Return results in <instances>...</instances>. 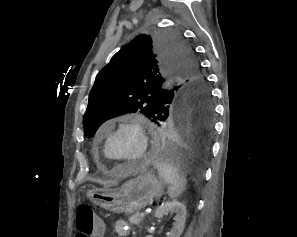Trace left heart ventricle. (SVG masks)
<instances>
[{"mask_svg": "<svg viewBox=\"0 0 297 237\" xmlns=\"http://www.w3.org/2000/svg\"><path fill=\"white\" fill-rule=\"evenodd\" d=\"M139 150V142L136 134L124 129L116 134L109 142L108 151L115 157L127 158L136 154Z\"/></svg>", "mask_w": 297, "mask_h": 237, "instance_id": "left-heart-ventricle-1", "label": "left heart ventricle"}]
</instances>
